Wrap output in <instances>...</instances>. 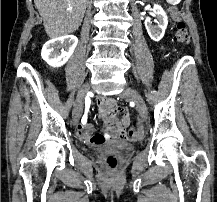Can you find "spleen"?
<instances>
[{
    "mask_svg": "<svg viewBox=\"0 0 217 202\" xmlns=\"http://www.w3.org/2000/svg\"><path fill=\"white\" fill-rule=\"evenodd\" d=\"M167 5H179V0H167Z\"/></svg>",
    "mask_w": 217,
    "mask_h": 202,
    "instance_id": "obj_1",
    "label": "spleen"
}]
</instances>
